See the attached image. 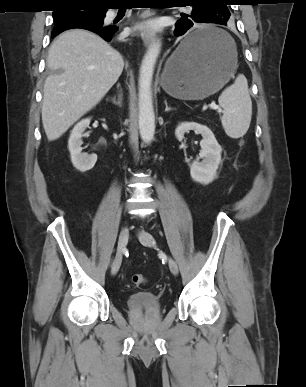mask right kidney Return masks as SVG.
<instances>
[{"label": "right kidney", "mask_w": 306, "mask_h": 387, "mask_svg": "<svg viewBox=\"0 0 306 387\" xmlns=\"http://www.w3.org/2000/svg\"><path fill=\"white\" fill-rule=\"evenodd\" d=\"M91 119H83L79 123H77L73 130L71 131L69 141H68V149L71 155V162L73 166L79 170L80 172H86L92 169L97 161L96 154H88L82 152L81 145L83 132L86 128L89 127Z\"/></svg>", "instance_id": "right-kidney-1"}]
</instances>
